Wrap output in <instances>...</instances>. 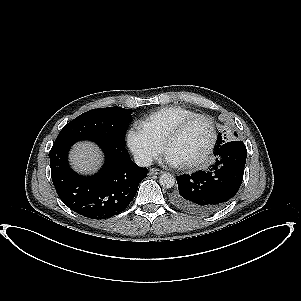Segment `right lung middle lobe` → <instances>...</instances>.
<instances>
[{
  "label": "right lung middle lobe",
  "mask_w": 301,
  "mask_h": 301,
  "mask_svg": "<svg viewBox=\"0 0 301 301\" xmlns=\"http://www.w3.org/2000/svg\"><path fill=\"white\" fill-rule=\"evenodd\" d=\"M132 112L120 107L92 109L65 125L55 142L103 139L125 146V132Z\"/></svg>",
  "instance_id": "1"
}]
</instances>
